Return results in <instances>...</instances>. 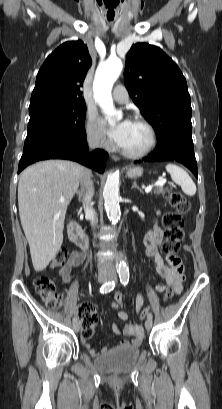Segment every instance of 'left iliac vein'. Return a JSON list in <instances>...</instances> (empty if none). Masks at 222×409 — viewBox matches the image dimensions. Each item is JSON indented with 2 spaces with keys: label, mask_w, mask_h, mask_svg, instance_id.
Returning a JSON list of instances; mask_svg holds the SVG:
<instances>
[{
  "label": "left iliac vein",
  "mask_w": 222,
  "mask_h": 409,
  "mask_svg": "<svg viewBox=\"0 0 222 409\" xmlns=\"http://www.w3.org/2000/svg\"><path fill=\"white\" fill-rule=\"evenodd\" d=\"M112 279H113V280H116L115 277H112ZM152 325H153V322H152L151 319H147V320L145 321V328H146L147 330H150V329L152 328Z\"/></svg>",
  "instance_id": "1"
}]
</instances>
